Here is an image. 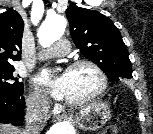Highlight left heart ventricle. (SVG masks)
<instances>
[{
    "label": "left heart ventricle",
    "mask_w": 153,
    "mask_h": 134,
    "mask_svg": "<svg viewBox=\"0 0 153 134\" xmlns=\"http://www.w3.org/2000/svg\"><path fill=\"white\" fill-rule=\"evenodd\" d=\"M67 90L65 99L80 100L91 94L98 87L99 80L96 73L87 66H81L67 71Z\"/></svg>",
    "instance_id": "1"
}]
</instances>
